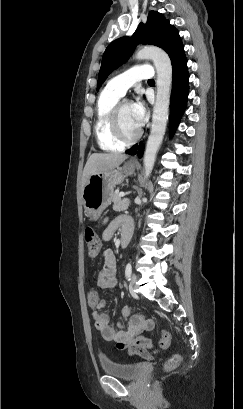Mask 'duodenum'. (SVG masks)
<instances>
[{
    "instance_id": "410a0bca",
    "label": "duodenum",
    "mask_w": 243,
    "mask_h": 409,
    "mask_svg": "<svg viewBox=\"0 0 243 409\" xmlns=\"http://www.w3.org/2000/svg\"><path fill=\"white\" fill-rule=\"evenodd\" d=\"M131 230L127 229L122 233L121 236V247L125 248L129 244V241L131 239Z\"/></svg>"
}]
</instances>
